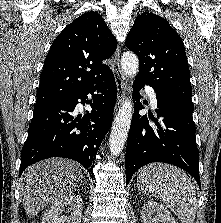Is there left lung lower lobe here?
Instances as JSON below:
<instances>
[{
  "mask_svg": "<svg viewBox=\"0 0 221 223\" xmlns=\"http://www.w3.org/2000/svg\"><path fill=\"white\" fill-rule=\"evenodd\" d=\"M144 84L133 83L134 115L127 139L126 185L132 175L142 166L152 162L170 163L191 174L200 186L198 159L199 152L195 139V124L192 112L194 106L161 93H156L158 118L156 126H150L143 109L139 90Z\"/></svg>",
  "mask_w": 221,
  "mask_h": 223,
  "instance_id": "1",
  "label": "left lung lower lobe"
}]
</instances>
